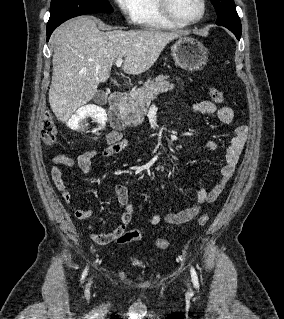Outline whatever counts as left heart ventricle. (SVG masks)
I'll list each match as a JSON object with an SVG mask.
<instances>
[{
  "mask_svg": "<svg viewBox=\"0 0 284 319\" xmlns=\"http://www.w3.org/2000/svg\"><path fill=\"white\" fill-rule=\"evenodd\" d=\"M174 13L183 20H192L201 13V0H172Z\"/></svg>",
  "mask_w": 284,
  "mask_h": 319,
  "instance_id": "b2bd125f",
  "label": "left heart ventricle"
}]
</instances>
